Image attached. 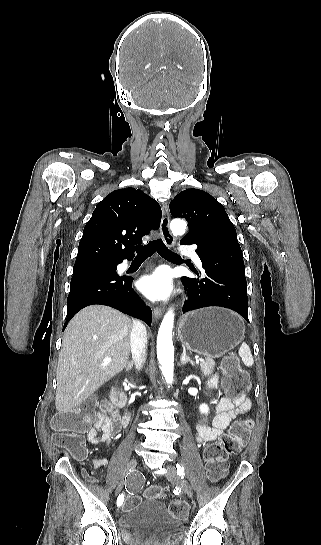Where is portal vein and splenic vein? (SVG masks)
<instances>
[{
  "instance_id": "obj_1",
  "label": "portal vein and splenic vein",
  "mask_w": 321,
  "mask_h": 545,
  "mask_svg": "<svg viewBox=\"0 0 321 545\" xmlns=\"http://www.w3.org/2000/svg\"><path fill=\"white\" fill-rule=\"evenodd\" d=\"M196 356V359H198V361H204V358H199V355H195ZM105 363H111V359L110 357H106V359H104Z\"/></svg>"
}]
</instances>
